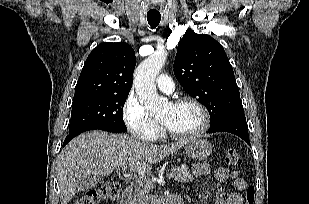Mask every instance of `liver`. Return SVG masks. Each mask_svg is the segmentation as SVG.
<instances>
[{
    "instance_id": "obj_1",
    "label": "liver",
    "mask_w": 309,
    "mask_h": 204,
    "mask_svg": "<svg viewBox=\"0 0 309 204\" xmlns=\"http://www.w3.org/2000/svg\"><path fill=\"white\" fill-rule=\"evenodd\" d=\"M186 143L183 140L163 146L123 134L98 130L83 133L69 142L59 155L61 204H68L75 195L78 181L85 176H108L123 164L131 171L148 172Z\"/></svg>"
}]
</instances>
